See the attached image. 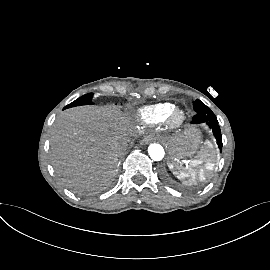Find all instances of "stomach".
Segmentation results:
<instances>
[{
  "instance_id": "1",
  "label": "stomach",
  "mask_w": 270,
  "mask_h": 270,
  "mask_svg": "<svg viewBox=\"0 0 270 270\" xmlns=\"http://www.w3.org/2000/svg\"><path fill=\"white\" fill-rule=\"evenodd\" d=\"M200 133L195 128H186L182 132L166 140L170 156L167 161L169 169L178 178L185 172L184 159L196 153L200 144Z\"/></svg>"
}]
</instances>
